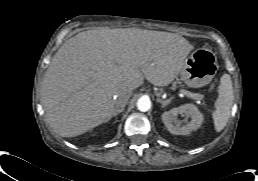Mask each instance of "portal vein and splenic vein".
Listing matches in <instances>:
<instances>
[{
  "label": "portal vein and splenic vein",
  "instance_id": "1",
  "mask_svg": "<svg viewBox=\"0 0 258 181\" xmlns=\"http://www.w3.org/2000/svg\"><path fill=\"white\" fill-rule=\"evenodd\" d=\"M180 93L184 94L185 96L189 97V98H192V99H197L198 98V94L196 93H191L187 90H180Z\"/></svg>",
  "mask_w": 258,
  "mask_h": 181
}]
</instances>
